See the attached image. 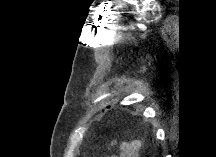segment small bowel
<instances>
[{"label":"small bowel","mask_w":216,"mask_h":157,"mask_svg":"<svg viewBox=\"0 0 216 157\" xmlns=\"http://www.w3.org/2000/svg\"><path fill=\"white\" fill-rule=\"evenodd\" d=\"M118 146L120 157H138L141 150V142L139 140H132L130 142L113 141L110 146Z\"/></svg>","instance_id":"obj_1"}]
</instances>
